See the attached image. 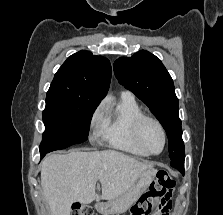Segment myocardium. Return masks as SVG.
<instances>
[{
    "mask_svg": "<svg viewBox=\"0 0 223 215\" xmlns=\"http://www.w3.org/2000/svg\"><path fill=\"white\" fill-rule=\"evenodd\" d=\"M152 122L154 123L158 129L160 130L161 136H162V146L161 149L158 152H146L142 149V145H141V131H142V127L146 122ZM134 138H135V142L137 144V146L139 147V149L141 150V153L144 156H158L162 153V151L164 150L165 144H166V133L165 130L162 126V124L154 117L151 116H147V115H142L140 116L134 126Z\"/></svg>",
    "mask_w": 223,
    "mask_h": 215,
    "instance_id": "myocardium-1",
    "label": "myocardium"
}]
</instances>
